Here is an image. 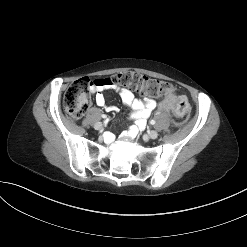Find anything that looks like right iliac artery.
<instances>
[{
    "label": "right iliac artery",
    "instance_id": "obj_1",
    "mask_svg": "<svg viewBox=\"0 0 247 247\" xmlns=\"http://www.w3.org/2000/svg\"><path fill=\"white\" fill-rule=\"evenodd\" d=\"M102 117H103V118H107V116H106V115H102Z\"/></svg>",
    "mask_w": 247,
    "mask_h": 247
}]
</instances>
